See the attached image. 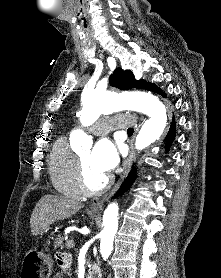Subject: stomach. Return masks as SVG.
Wrapping results in <instances>:
<instances>
[{"mask_svg": "<svg viewBox=\"0 0 221 278\" xmlns=\"http://www.w3.org/2000/svg\"><path fill=\"white\" fill-rule=\"evenodd\" d=\"M53 260L39 251H28L24 264H21L22 278H49L53 271Z\"/></svg>", "mask_w": 221, "mask_h": 278, "instance_id": "obj_1", "label": "stomach"}]
</instances>
